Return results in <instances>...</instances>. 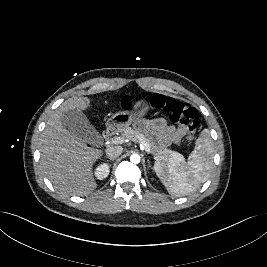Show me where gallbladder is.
Segmentation results:
<instances>
[{"label": "gallbladder", "mask_w": 267, "mask_h": 267, "mask_svg": "<svg viewBox=\"0 0 267 267\" xmlns=\"http://www.w3.org/2000/svg\"><path fill=\"white\" fill-rule=\"evenodd\" d=\"M63 127L92 146H101L103 139L101 134L89 122L87 116L79 110H69L62 116Z\"/></svg>", "instance_id": "gallbladder-1"}]
</instances>
